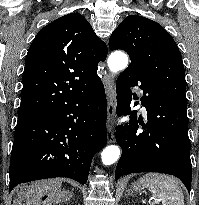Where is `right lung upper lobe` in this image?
Here are the masks:
<instances>
[{
  "label": "right lung upper lobe",
  "instance_id": "cb5924a9",
  "mask_svg": "<svg viewBox=\"0 0 199 205\" xmlns=\"http://www.w3.org/2000/svg\"><path fill=\"white\" fill-rule=\"evenodd\" d=\"M106 44L79 13L62 16L42 28L25 60L18 119H32L100 80Z\"/></svg>",
  "mask_w": 199,
  "mask_h": 205
}]
</instances>
